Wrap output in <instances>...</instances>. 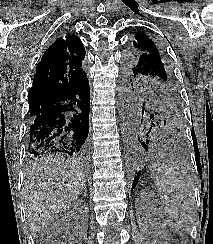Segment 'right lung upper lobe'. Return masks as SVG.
<instances>
[{
  "label": "right lung upper lobe",
  "mask_w": 213,
  "mask_h": 244,
  "mask_svg": "<svg viewBox=\"0 0 213 244\" xmlns=\"http://www.w3.org/2000/svg\"><path fill=\"white\" fill-rule=\"evenodd\" d=\"M85 49L79 37L64 31L49 46L37 65L28 99L51 96L73 88L84 76Z\"/></svg>",
  "instance_id": "obj_1"
}]
</instances>
